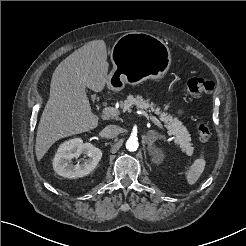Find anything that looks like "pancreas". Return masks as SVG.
I'll return each mask as SVG.
<instances>
[{
  "label": "pancreas",
  "instance_id": "cf45deb5",
  "mask_svg": "<svg viewBox=\"0 0 246 246\" xmlns=\"http://www.w3.org/2000/svg\"><path fill=\"white\" fill-rule=\"evenodd\" d=\"M136 107L144 112L145 116H149V113L154 112L159 115L161 121H163L170 133L175 136V143L183 151H189L191 149V137L187 128L183 123L171 114L164 112L160 109L159 106L150 102L149 99H144L141 95H129L121 103V107L124 111H131V108Z\"/></svg>",
  "mask_w": 246,
  "mask_h": 246
}]
</instances>
